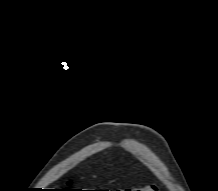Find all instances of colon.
Returning a JSON list of instances; mask_svg holds the SVG:
<instances>
[{"mask_svg": "<svg viewBox=\"0 0 218 191\" xmlns=\"http://www.w3.org/2000/svg\"><path fill=\"white\" fill-rule=\"evenodd\" d=\"M68 191H75V190H68ZM118 191H158V188L155 185H147L141 188L125 189V190H118Z\"/></svg>", "mask_w": 218, "mask_h": 191, "instance_id": "5ec220e1", "label": "colon"}]
</instances>
